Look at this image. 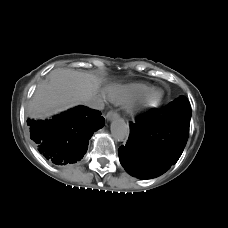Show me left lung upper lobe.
I'll list each match as a JSON object with an SVG mask.
<instances>
[{"label": "left lung upper lobe", "mask_w": 228, "mask_h": 228, "mask_svg": "<svg viewBox=\"0 0 228 228\" xmlns=\"http://www.w3.org/2000/svg\"><path fill=\"white\" fill-rule=\"evenodd\" d=\"M168 105H177L179 107L187 108V109H190L191 108L188 99L185 96H183V95L180 96L175 101L170 102Z\"/></svg>", "instance_id": "5c2ea615"}]
</instances>
